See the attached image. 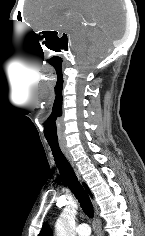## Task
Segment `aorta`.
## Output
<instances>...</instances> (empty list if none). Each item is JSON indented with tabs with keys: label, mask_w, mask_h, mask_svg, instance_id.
Listing matches in <instances>:
<instances>
[{
	"label": "aorta",
	"mask_w": 145,
	"mask_h": 236,
	"mask_svg": "<svg viewBox=\"0 0 145 236\" xmlns=\"http://www.w3.org/2000/svg\"><path fill=\"white\" fill-rule=\"evenodd\" d=\"M77 208V204L71 202L63 209L55 225L57 236H75Z\"/></svg>",
	"instance_id": "1"
}]
</instances>
